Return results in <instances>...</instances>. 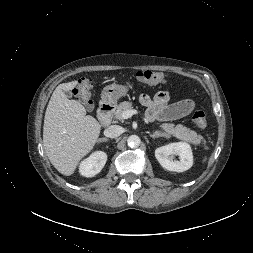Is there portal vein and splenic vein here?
<instances>
[{
	"label": "portal vein and splenic vein",
	"mask_w": 253,
	"mask_h": 253,
	"mask_svg": "<svg viewBox=\"0 0 253 253\" xmlns=\"http://www.w3.org/2000/svg\"><path fill=\"white\" fill-rule=\"evenodd\" d=\"M137 114V110H127L122 113V119H128L132 115Z\"/></svg>",
	"instance_id": "obj_1"
}]
</instances>
